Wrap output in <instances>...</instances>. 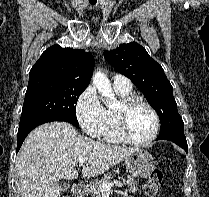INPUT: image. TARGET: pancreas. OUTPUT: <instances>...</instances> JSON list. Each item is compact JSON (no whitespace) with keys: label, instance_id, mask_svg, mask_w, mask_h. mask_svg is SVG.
I'll return each mask as SVG.
<instances>
[{"label":"pancreas","instance_id":"pancreas-1","mask_svg":"<svg viewBox=\"0 0 209 197\" xmlns=\"http://www.w3.org/2000/svg\"><path fill=\"white\" fill-rule=\"evenodd\" d=\"M111 179H112L111 173L105 174L101 180H97L94 184L89 186V188L87 189L88 193L91 194L93 197H101L102 183L104 182L109 183ZM127 181H128L127 183L128 191L137 192L138 186H137V181L134 179V177L128 176Z\"/></svg>","mask_w":209,"mask_h":197}]
</instances>
